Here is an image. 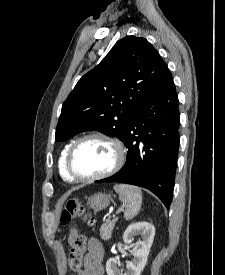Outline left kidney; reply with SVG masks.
I'll return each mask as SVG.
<instances>
[{
  "label": "left kidney",
  "mask_w": 225,
  "mask_h": 275,
  "mask_svg": "<svg viewBox=\"0 0 225 275\" xmlns=\"http://www.w3.org/2000/svg\"><path fill=\"white\" fill-rule=\"evenodd\" d=\"M135 235H141L136 246L133 248V261L126 265L127 272L122 273L118 270L117 265L120 263L119 257L110 258L106 263V271L108 275H140L144 269L150 248L152 246L155 227L148 222H138L128 226L123 234V241L130 244Z\"/></svg>",
  "instance_id": "obj_1"
}]
</instances>
